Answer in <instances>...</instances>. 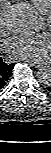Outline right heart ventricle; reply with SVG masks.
<instances>
[{
	"instance_id": "right-heart-ventricle-1",
	"label": "right heart ventricle",
	"mask_w": 51,
	"mask_h": 153,
	"mask_svg": "<svg viewBox=\"0 0 51 153\" xmlns=\"http://www.w3.org/2000/svg\"><path fill=\"white\" fill-rule=\"evenodd\" d=\"M35 8L43 15L51 11V0H31Z\"/></svg>"
}]
</instances>
